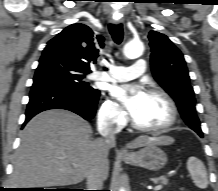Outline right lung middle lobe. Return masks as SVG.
Listing matches in <instances>:
<instances>
[{"mask_svg": "<svg viewBox=\"0 0 218 191\" xmlns=\"http://www.w3.org/2000/svg\"><path fill=\"white\" fill-rule=\"evenodd\" d=\"M85 74L87 73L75 69L68 63L58 58L44 56L40 58L39 66L36 69L34 79L51 77L61 80L73 89L83 91L87 94L99 92L82 80Z\"/></svg>", "mask_w": 218, "mask_h": 191, "instance_id": "dd1d6c3e", "label": "right lung middle lobe"}]
</instances>
